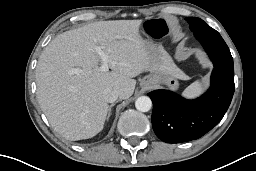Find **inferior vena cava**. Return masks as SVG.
Segmentation results:
<instances>
[{
  "mask_svg": "<svg viewBox=\"0 0 256 171\" xmlns=\"http://www.w3.org/2000/svg\"><path fill=\"white\" fill-rule=\"evenodd\" d=\"M119 97V93L117 90L107 88L103 91V98L107 103L115 102Z\"/></svg>",
  "mask_w": 256,
  "mask_h": 171,
  "instance_id": "obj_1",
  "label": "inferior vena cava"
}]
</instances>
